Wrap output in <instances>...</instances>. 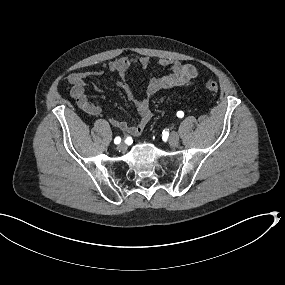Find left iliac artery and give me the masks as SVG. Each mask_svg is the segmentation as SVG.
Segmentation results:
<instances>
[{
  "instance_id": "left-iliac-artery-1",
  "label": "left iliac artery",
  "mask_w": 285,
  "mask_h": 285,
  "mask_svg": "<svg viewBox=\"0 0 285 285\" xmlns=\"http://www.w3.org/2000/svg\"><path fill=\"white\" fill-rule=\"evenodd\" d=\"M177 116H178L179 118H182V117L184 116L183 111H178V112H177Z\"/></svg>"
}]
</instances>
